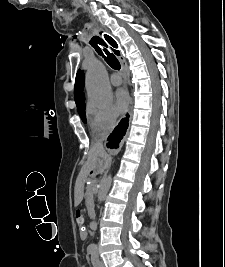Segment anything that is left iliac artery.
<instances>
[{
    "label": "left iliac artery",
    "mask_w": 225,
    "mask_h": 267,
    "mask_svg": "<svg viewBox=\"0 0 225 267\" xmlns=\"http://www.w3.org/2000/svg\"><path fill=\"white\" fill-rule=\"evenodd\" d=\"M91 261L94 267H99V256L97 252L91 253Z\"/></svg>",
    "instance_id": "1"
}]
</instances>
